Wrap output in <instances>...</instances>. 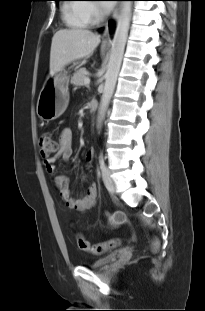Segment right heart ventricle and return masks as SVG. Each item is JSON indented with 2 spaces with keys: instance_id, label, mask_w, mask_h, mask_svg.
Returning a JSON list of instances; mask_svg holds the SVG:
<instances>
[{
  "instance_id": "obj_1",
  "label": "right heart ventricle",
  "mask_w": 205,
  "mask_h": 311,
  "mask_svg": "<svg viewBox=\"0 0 205 311\" xmlns=\"http://www.w3.org/2000/svg\"><path fill=\"white\" fill-rule=\"evenodd\" d=\"M69 1L79 2L80 0ZM62 14L65 24L70 28L81 29L87 27L91 23V20L87 13V4H64L62 8Z\"/></svg>"
}]
</instances>
